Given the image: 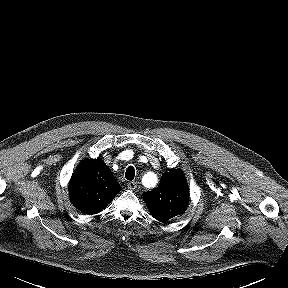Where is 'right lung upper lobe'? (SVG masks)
I'll return each mask as SVG.
<instances>
[{"label":"right lung upper lobe","instance_id":"1","mask_svg":"<svg viewBox=\"0 0 288 288\" xmlns=\"http://www.w3.org/2000/svg\"><path fill=\"white\" fill-rule=\"evenodd\" d=\"M121 190L108 166L101 159L82 161L69 183L74 206L87 214L102 211Z\"/></svg>","mask_w":288,"mask_h":288}]
</instances>
